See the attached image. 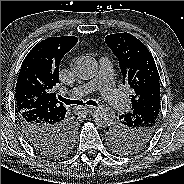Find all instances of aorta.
Masks as SVG:
<instances>
[{
    "instance_id": "1",
    "label": "aorta",
    "mask_w": 184,
    "mask_h": 184,
    "mask_svg": "<svg viewBox=\"0 0 184 184\" xmlns=\"http://www.w3.org/2000/svg\"><path fill=\"white\" fill-rule=\"evenodd\" d=\"M98 71L97 61L90 56H80L74 65V73L82 80L92 79ZM115 119V112L109 106H100L94 112V122L99 127L110 126Z\"/></svg>"
}]
</instances>
